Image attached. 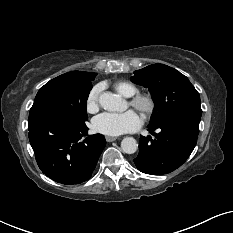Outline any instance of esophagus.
I'll return each mask as SVG.
<instances>
[{"instance_id":"34e87169","label":"esophagus","mask_w":233,"mask_h":233,"mask_svg":"<svg viewBox=\"0 0 233 233\" xmlns=\"http://www.w3.org/2000/svg\"><path fill=\"white\" fill-rule=\"evenodd\" d=\"M115 140H117V137L106 136V141H107V142H113V141H115Z\"/></svg>"}]
</instances>
